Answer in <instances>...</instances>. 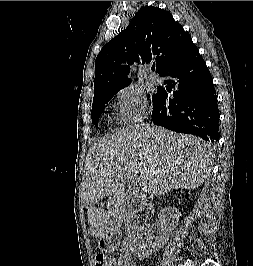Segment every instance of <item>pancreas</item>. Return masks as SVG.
Wrapping results in <instances>:
<instances>
[{"mask_svg": "<svg viewBox=\"0 0 253 266\" xmlns=\"http://www.w3.org/2000/svg\"><path fill=\"white\" fill-rule=\"evenodd\" d=\"M135 212H137L136 209L132 208L128 211L127 216H128V220L129 222L133 221V215L135 214Z\"/></svg>", "mask_w": 253, "mask_h": 266, "instance_id": "cf45deb5", "label": "pancreas"}]
</instances>
